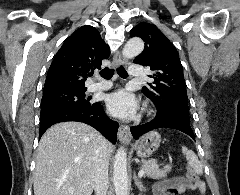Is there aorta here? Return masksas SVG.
<instances>
[{"label":"aorta","mask_w":240,"mask_h":195,"mask_svg":"<svg viewBox=\"0 0 240 195\" xmlns=\"http://www.w3.org/2000/svg\"><path fill=\"white\" fill-rule=\"evenodd\" d=\"M144 50L141 38H132L122 50L124 60L136 58ZM113 181L116 195H128L127 153L124 147H119L113 163Z\"/></svg>","instance_id":"obj_1"}]
</instances>
